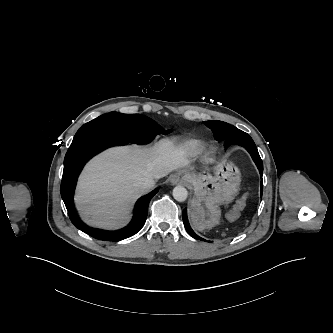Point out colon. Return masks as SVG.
<instances>
[{"label": "colon", "mask_w": 333, "mask_h": 333, "mask_svg": "<svg viewBox=\"0 0 333 333\" xmlns=\"http://www.w3.org/2000/svg\"><path fill=\"white\" fill-rule=\"evenodd\" d=\"M249 198V194H244L241 198L237 201L235 207L228 212V219L234 220L238 217L240 211L246 206L247 201Z\"/></svg>", "instance_id": "1"}]
</instances>
